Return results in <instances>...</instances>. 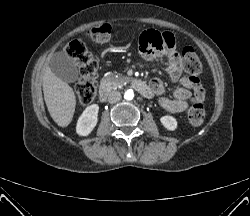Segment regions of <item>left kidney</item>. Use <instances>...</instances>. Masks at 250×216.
Wrapping results in <instances>:
<instances>
[{
  "mask_svg": "<svg viewBox=\"0 0 250 216\" xmlns=\"http://www.w3.org/2000/svg\"><path fill=\"white\" fill-rule=\"evenodd\" d=\"M161 124L170 131H175L177 129V120L170 115H165L160 118Z\"/></svg>",
  "mask_w": 250,
  "mask_h": 216,
  "instance_id": "left-kidney-1",
  "label": "left kidney"
}]
</instances>
